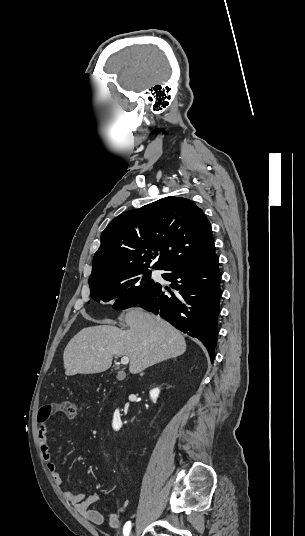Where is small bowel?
<instances>
[{"mask_svg":"<svg viewBox=\"0 0 305 536\" xmlns=\"http://www.w3.org/2000/svg\"><path fill=\"white\" fill-rule=\"evenodd\" d=\"M38 433V444L42 457L46 462L47 469L51 474L55 484L57 486H64L65 478L58 471L57 464L54 461V456L50 451L48 439L49 430L45 425H42L39 428ZM64 496L74 506L75 510L88 521L96 525H101L104 522L103 515L90 507L93 503H96L101 500V495L99 493L86 495L83 492L76 493L71 489H66L64 491ZM125 509V506L120 507L119 513H123ZM119 513L111 512L108 516L109 525L114 529L118 528L121 523Z\"/></svg>","mask_w":305,"mask_h":536,"instance_id":"small-bowel-1","label":"small bowel"}]
</instances>
